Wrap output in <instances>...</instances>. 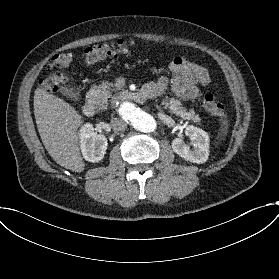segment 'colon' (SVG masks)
Masks as SVG:
<instances>
[{
  "label": "colon",
  "instance_id": "5ec220e1",
  "mask_svg": "<svg viewBox=\"0 0 279 279\" xmlns=\"http://www.w3.org/2000/svg\"><path fill=\"white\" fill-rule=\"evenodd\" d=\"M134 53L131 42H108L88 48L84 54L86 64H94L115 55H130ZM73 59V54L69 50H63L56 53L49 63L48 68L55 73L51 78L43 83V89L47 92L56 91L62 82V76L57 72L68 67ZM201 103L203 109L212 116H220L223 114V104L218 101L211 93L205 92L202 95Z\"/></svg>",
  "mask_w": 279,
  "mask_h": 279
}]
</instances>
